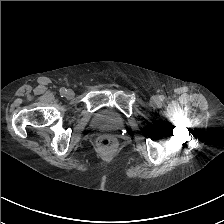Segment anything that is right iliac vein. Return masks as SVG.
Listing matches in <instances>:
<instances>
[{
	"instance_id": "right-iliac-vein-1",
	"label": "right iliac vein",
	"mask_w": 224,
	"mask_h": 224,
	"mask_svg": "<svg viewBox=\"0 0 224 224\" xmlns=\"http://www.w3.org/2000/svg\"><path fill=\"white\" fill-rule=\"evenodd\" d=\"M66 96H67L68 98H73V96H74V91L71 90V89H69V90L66 92Z\"/></svg>"
}]
</instances>
